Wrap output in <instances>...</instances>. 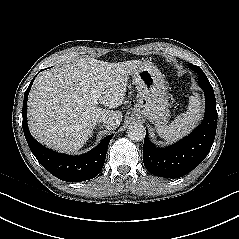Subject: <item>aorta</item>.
Instances as JSON below:
<instances>
[{
    "instance_id": "obj_1",
    "label": "aorta",
    "mask_w": 239,
    "mask_h": 239,
    "mask_svg": "<svg viewBox=\"0 0 239 239\" xmlns=\"http://www.w3.org/2000/svg\"><path fill=\"white\" fill-rule=\"evenodd\" d=\"M145 127L141 123H135L128 127L127 135L133 141H142L145 137Z\"/></svg>"
}]
</instances>
